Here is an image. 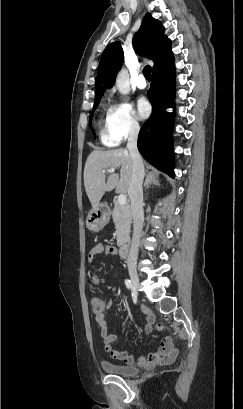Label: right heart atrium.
<instances>
[{
	"label": "right heart atrium",
	"mask_w": 243,
	"mask_h": 409,
	"mask_svg": "<svg viewBox=\"0 0 243 409\" xmlns=\"http://www.w3.org/2000/svg\"><path fill=\"white\" fill-rule=\"evenodd\" d=\"M106 125L109 134L117 142L135 135L140 128L131 105L126 101H118L109 108Z\"/></svg>",
	"instance_id": "right-heart-atrium-1"
}]
</instances>
